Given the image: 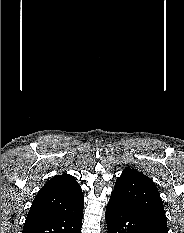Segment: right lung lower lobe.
Returning <instances> with one entry per match:
<instances>
[{"instance_id": "98d812e1", "label": "right lung lower lobe", "mask_w": 184, "mask_h": 233, "mask_svg": "<svg viewBox=\"0 0 184 233\" xmlns=\"http://www.w3.org/2000/svg\"><path fill=\"white\" fill-rule=\"evenodd\" d=\"M83 210L23 228L22 233H81Z\"/></svg>"}]
</instances>
